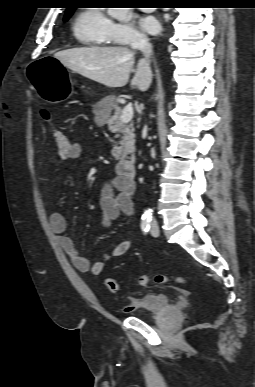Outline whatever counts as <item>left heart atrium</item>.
Segmentation results:
<instances>
[{"instance_id":"39dd6f15","label":"left heart atrium","mask_w":255,"mask_h":387,"mask_svg":"<svg viewBox=\"0 0 255 387\" xmlns=\"http://www.w3.org/2000/svg\"><path fill=\"white\" fill-rule=\"evenodd\" d=\"M142 29L149 34H156L160 30L158 20L153 16H144L140 19Z\"/></svg>"}]
</instances>
